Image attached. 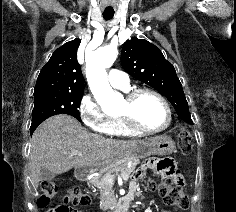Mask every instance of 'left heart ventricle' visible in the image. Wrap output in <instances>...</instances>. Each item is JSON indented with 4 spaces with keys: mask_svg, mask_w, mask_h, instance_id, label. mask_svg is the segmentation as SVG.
Returning a JSON list of instances; mask_svg holds the SVG:
<instances>
[{
    "mask_svg": "<svg viewBox=\"0 0 236 212\" xmlns=\"http://www.w3.org/2000/svg\"><path fill=\"white\" fill-rule=\"evenodd\" d=\"M124 107L125 102L123 101L120 112ZM135 112L139 123L149 129L163 127L168 118L164 105L160 100L150 94H144L138 98Z\"/></svg>",
    "mask_w": 236,
    "mask_h": 212,
    "instance_id": "obj_1",
    "label": "left heart ventricle"
}]
</instances>
